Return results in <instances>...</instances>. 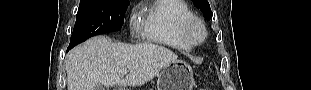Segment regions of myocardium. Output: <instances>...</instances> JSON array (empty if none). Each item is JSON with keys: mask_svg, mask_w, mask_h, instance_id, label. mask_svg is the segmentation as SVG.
<instances>
[{"mask_svg": "<svg viewBox=\"0 0 311 90\" xmlns=\"http://www.w3.org/2000/svg\"><path fill=\"white\" fill-rule=\"evenodd\" d=\"M196 31L198 32V34H196ZM181 33L184 39L192 46H198L202 44L207 36L205 24L202 20L196 17L187 20L183 24Z\"/></svg>", "mask_w": 311, "mask_h": 90, "instance_id": "f54148a6", "label": "myocardium"}]
</instances>
